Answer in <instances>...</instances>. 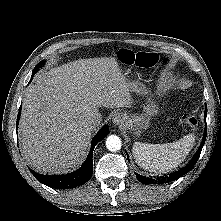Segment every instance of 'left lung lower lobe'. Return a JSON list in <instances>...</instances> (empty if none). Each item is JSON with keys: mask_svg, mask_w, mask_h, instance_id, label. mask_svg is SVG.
<instances>
[{"mask_svg": "<svg viewBox=\"0 0 221 221\" xmlns=\"http://www.w3.org/2000/svg\"><path fill=\"white\" fill-rule=\"evenodd\" d=\"M206 115H207V106H205V121H206ZM206 135H207V127H205L203 140H202V143H201L199 149L197 150L196 154L194 155V157L192 158V160L189 162V164L186 167H184V168H182V169H180V170H178L174 173H171L166 177L157 178L156 180L147 178L145 176H141V175L136 173V176H137L138 180H140L143 184H161V183H164V182H171V181L177 180L179 177H181L182 175H184L188 171H190L194 167V165L196 164V162H197V160L200 156V153L202 151V148L205 144Z\"/></svg>", "mask_w": 221, "mask_h": 221, "instance_id": "left-lung-lower-lobe-1", "label": "left lung lower lobe"}]
</instances>
